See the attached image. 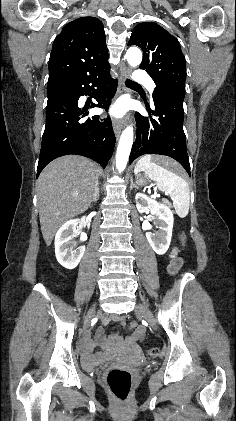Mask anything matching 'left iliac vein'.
Here are the masks:
<instances>
[{
	"label": "left iliac vein",
	"mask_w": 236,
	"mask_h": 421,
	"mask_svg": "<svg viewBox=\"0 0 236 421\" xmlns=\"http://www.w3.org/2000/svg\"><path fill=\"white\" fill-rule=\"evenodd\" d=\"M136 312L137 313H142V315H144V317L146 318V320L148 321V323L150 324V327L154 330L157 329V322L153 316V314L151 313L150 309L148 308L147 304L143 303V304H138L136 307Z\"/></svg>",
	"instance_id": "1"
}]
</instances>
